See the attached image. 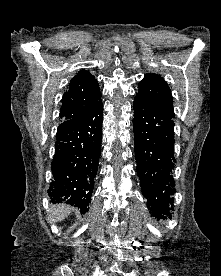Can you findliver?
I'll use <instances>...</instances> for the list:
<instances>
[{"instance_id": "obj_1", "label": "liver", "mask_w": 221, "mask_h": 276, "mask_svg": "<svg viewBox=\"0 0 221 276\" xmlns=\"http://www.w3.org/2000/svg\"><path fill=\"white\" fill-rule=\"evenodd\" d=\"M72 208L66 204H58L56 206L51 207V215L52 219L55 222L62 221L65 219L70 213Z\"/></svg>"}]
</instances>
